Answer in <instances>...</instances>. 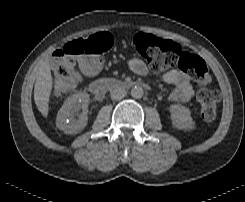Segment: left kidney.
I'll return each instance as SVG.
<instances>
[{
	"label": "left kidney",
	"instance_id": "1",
	"mask_svg": "<svg viewBox=\"0 0 245 202\" xmlns=\"http://www.w3.org/2000/svg\"><path fill=\"white\" fill-rule=\"evenodd\" d=\"M171 113L172 125L175 128L186 130L192 129L194 126L190 110L180 104L171 105L169 108Z\"/></svg>",
	"mask_w": 245,
	"mask_h": 202
}]
</instances>
